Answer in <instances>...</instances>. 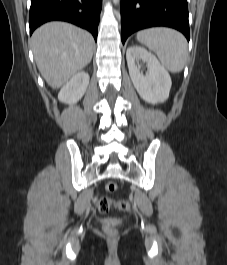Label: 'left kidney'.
<instances>
[{
    "label": "left kidney",
    "instance_id": "obj_1",
    "mask_svg": "<svg viewBox=\"0 0 227 265\" xmlns=\"http://www.w3.org/2000/svg\"><path fill=\"white\" fill-rule=\"evenodd\" d=\"M130 78L140 97L152 105L163 103L169 97L171 78L158 59L139 46L128 47L126 52ZM147 63V74L140 72L138 62Z\"/></svg>",
    "mask_w": 227,
    "mask_h": 265
}]
</instances>
